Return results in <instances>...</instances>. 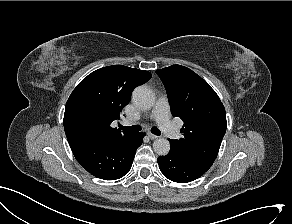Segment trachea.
Segmentation results:
<instances>
[{
	"label": "trachea",
	"instance_id": "3493384b",
	"mask_svg": "<svg viewBox=\"0 0 292 224\" xmlns=\"http://www.w3.org/2000/svg\"><path fill=\"white\" fill-rule=\"evenodd\" d=\"M120 129L124 130V131H130V132H138V131H141L142 128L139 125H134V126H130V127L120 126ZM151 132L155 135L161 134L160 130L156 127H152Z\"/></svg>",
	"mask_w": 292,
	"mask_h": 224
}]
</instances>
